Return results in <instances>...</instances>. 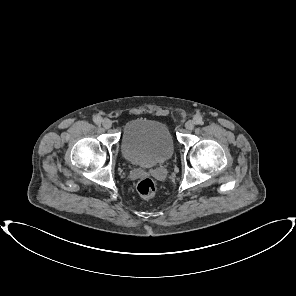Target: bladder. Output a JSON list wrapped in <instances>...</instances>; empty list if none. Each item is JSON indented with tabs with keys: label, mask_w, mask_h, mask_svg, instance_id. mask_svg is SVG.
<instances>
[{
	"label": "bladder",
	"mask_w": 296,
	"mask_h": 296,
	"mask_svg": "<svg viewBox=\"0 0 296 296\" xmlns=\"http://www.w3.org/2000/svg\"><path fill=\"white\" fill-rule=\"evenodd\" d=\"M173 152V138L165 123L138 118L124 126L121 153L128 162L152 167L168 161Z\"/></svg>",
	"instance_id": "bladder-1"
}]
</instances>
